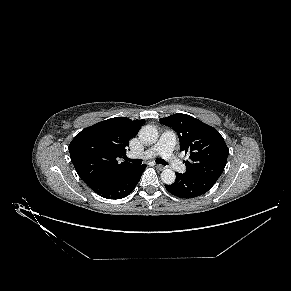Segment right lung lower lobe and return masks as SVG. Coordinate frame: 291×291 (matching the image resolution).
Here are the masks:
<instances>
[{"instance_id":"obj_1","label":"right lung lower lobe","mask_w":291,"mask_h":291,"mask_svg":"<svg viewBox=\"0 0 291 291\" xmlns=\"http://www.w3.org/2000/svg\"><path fill=\"white\" fill-rule=\"evenodd\" d=\"M145 167L144 164L133 166L124 171L100 177L87 185L104 198L121 199L134 190Z\"/></svg>"}]
</instances>
